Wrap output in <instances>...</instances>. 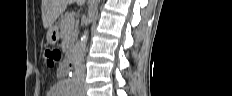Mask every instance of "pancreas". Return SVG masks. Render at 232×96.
Returning <instances> with one entry per match:
<instances>
[{
  "instance_id": "pancreas-1",
  "label": "pancreas",
  "mask_w": 232,
  "mask_h": 96,
  "mask_svg": "<svg viewBox=\"0 0 232 96\" xmlns=\"http://www.w3.org/2000/svg\"><path fill=\"white\" fill-rule=\"evenodd\" d=\"M60 35L64 37L69 36V45H73L78 36V27L75 25L74 18L71 13L67 12L61 17Z\"/></svg>"
}]
</instances>
